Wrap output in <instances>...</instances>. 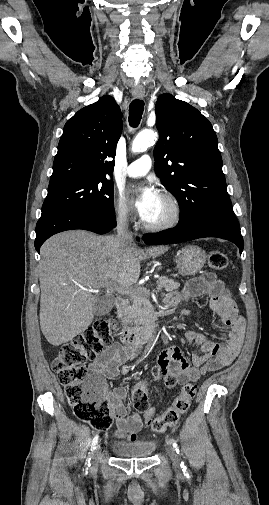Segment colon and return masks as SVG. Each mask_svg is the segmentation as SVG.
Returning <instances> with one entry per match:
<instances>
[{
    "mask_svg": "<svg viewBox=\"0 0 269 505\" xmlns=\"http://www.w3.org/2000/svg\"><path fill=\"white\" fill-rule=\"evenodd\" d=\"M208 263L213 270H223L228 266V257L220 250H213L209 253ZM113 325L114 320L96 321L72 341L63 344L52 362V369L65 387L66 398L75 415L94 429L103 431L112 425V416L105 399L104 381L99 375L89 372L86 363L112 344ZM164 380L168 387L175 385L172 378ZM196 391L195 383H186L172 405L154 417L153 410L149 407L145 383L141 382L133 392V404L137 411L143 413L152 431L163 433L178 424L189 409Z\"/></svg>",
    "mask_w": 269,
    "mask_h": 505,
    "instance_id": "obj_1",
    "label": "colon"
}]
</instances>
